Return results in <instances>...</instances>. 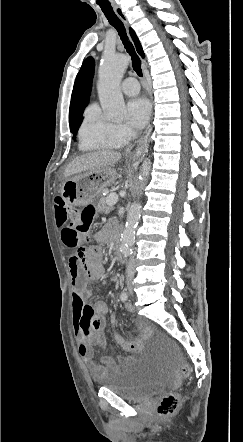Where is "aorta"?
I'll list each match as a JSON object with an SVG mask.
<instances>
[{
  "label": "aorta",
  "instance_id": "762f6f07",
  "mask_svg": "<svg viewBox=\"0 0 243 442\" xmlns=\"http://www.w3.org/2000/svg\"><path fill=\"white\" fill-rule=\"evenodd\" d=\"M128 64V58L123 54L106 55L99 68L98 92L101 106L107 117L112 119L122 118L125 113V102L120 91V81ZM149 172L150 160L146 158L138 177V200L134 201L129 207L126 224L121 234L120 251L125 256L131 255L133 251L135 231L141 213L139 197L147 182Z\"/></svg>",
  "mask_w": 243,
  "mask_h": 442
}]
</instances>
